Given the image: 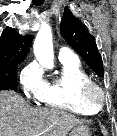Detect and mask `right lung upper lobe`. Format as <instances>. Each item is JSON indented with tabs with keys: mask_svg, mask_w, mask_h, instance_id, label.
Returning a JSON list of instances; mask_svg holds the SVG:
<instances>
[{
	"mask_svg": "<svg viewBox=\"0 0 117 136\" xmlns=\"http://www.w3.org/2000/svg\"><path fill=\"white\" fill-rule=\"evenodd\" d=\"M32 36H21L13 28H6L0 37V66L19 64L23 61L31 46Z\"/></svg>",
	"mask_w": 117,
	"mask_h": 136,
	"instance_id": "right-lung-upper-lobe-1",
	"label": "right lung upper lobe"
}]
</instances>
